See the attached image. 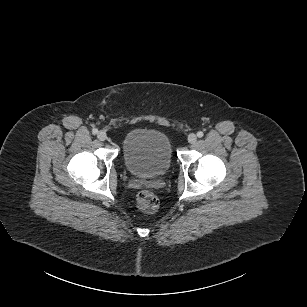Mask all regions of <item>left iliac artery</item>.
Returning a JSON list of instances; mask_svg holds the SVG:
<instances>
[{
	"instance_id": "44dca946",
	"label": "left iliac artery",
	"mask_w": 307,
	"mask_h": 307,
	"mask_svg": "<svg viewBox=\"0 0 307 307\" xmlns=\"http://www.w3.org/2000/svg\"><path fill=\"white\" fill-rule=\"evenodd\" d=\"M203 135H204V133H203L202 131L197 132V136H198L199 138L203 137Z\"/></svg>"
}]
</instances>
